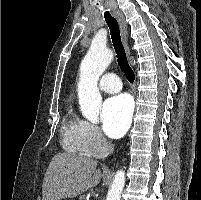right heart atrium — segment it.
<instances>
[{
	"instance_id": "right-heart-atrium-1",
	"label": "right heart atrium",
	"mask_w": 201,
	"mask_h": 200,
	"mask_svg": "<svg viewBox=\"0 0 201 200\" xmlns=\"http://www.w3.org/2000/svg\"><path fill=\"white\" fill-rule=\"evenodd\" d=\"M81 137L84 150L91 156L103 155L109 147L108 141L100 132L99 128L87 121H80Z\"/></svg>"
}]
</instances>
